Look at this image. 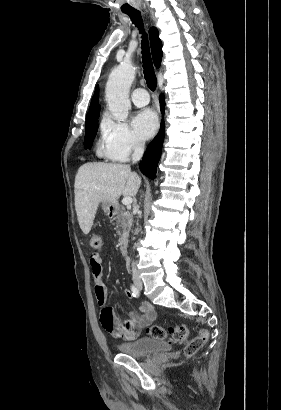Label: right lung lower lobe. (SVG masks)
I'll return each instance as SVG.
<instances>
[{"mask_svg":"<svg viewBox=\"0 0 281 410\" xmlns=\"http://www.w3.org/2000/svg\"><path fill=\"white\" fill-rule=\"evenodd\" d=\"M164 96H160L161 113L164 114ZM164 121L161 122V127L157 136L149 143L143 160L140 162L139 168L144 175L154 179L156 177L157 164L161 156L162 144L164 140Z\"/></svg>","mask_w":281,"mask_h":410,"instance_id":"obj_1","label":"right lung lower lobe"}]
</instances>
